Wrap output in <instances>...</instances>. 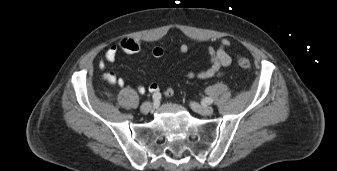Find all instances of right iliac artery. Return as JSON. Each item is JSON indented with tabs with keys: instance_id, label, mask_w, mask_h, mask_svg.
Masks as SVG:
<instances>
[{
	"instance_id": "obj_1",
	"label": "right iliac artery",
	"mask_w": 337,
	"mask_h": 171,
	"mask_svg": "<svg viewBox=\"0 0 337 171\" xmlns=\"http://www.w3.org/2000/svg\"><path fill=\"white\" fill-rule=\"evenodd\" d=\"M154 101H159V99L161 98V94L160 93H154L152 96Z\"/></svg>"
}]
</instances>
